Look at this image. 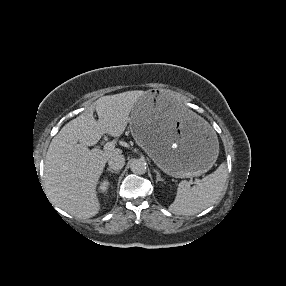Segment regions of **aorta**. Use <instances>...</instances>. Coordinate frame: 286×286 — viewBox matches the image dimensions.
I'll return each mask as SVG.
<instances>
[{"label":"aorta","instance_id":"1","mask_svg":"<svg viewBox=\"0 0 286 286\" xmlns=\"http://www.w3.org/2000/svg\"><path fill=\"white\" fill-rule=\"evenodd\" d=\"M130 169L134 174H144L146 172V163L141 159L130 160Z\"/></svg>","mask_w":286,"mask_h":286}]
</instances>
